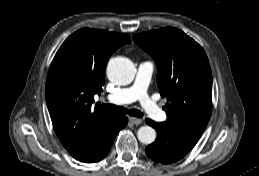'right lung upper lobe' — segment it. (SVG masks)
<instances>
[{
  "instance_id": "cb5924a9",
  "label": "right lung upper lobe",
  "mask_w": 259,
  "mask_h": 176,
  "mask_svg": "<svg viewBox=\"0 0 259 176\" xmlns=\"http://www.w3.org/2000/svg\"><path fill=\"white\" fill-rule=\"evenodd\" d=\"M131 39L99 29H80L57 51L47 76L45 96L54 130L66 150L78 154L115 122L114 114L92 108L102 92L111 54Z\"/></svg>"
}]
</instances>
